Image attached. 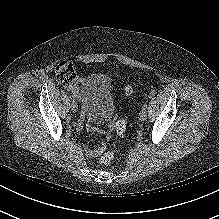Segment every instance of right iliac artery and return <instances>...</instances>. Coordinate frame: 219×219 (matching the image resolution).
<instances>
[{
  "instance_id": "obj_1",
  "label": "right iliac artery",
  "mask_w": 219,
  "mask_h": 219,
  "mask_svg": "<svg viewBox=\"0 0 219 219\" xmlns=\"http://www.w3.org/2000/svg\"><path fill=\"white\" fill-rule=\"evenodd\" d=\"M70 99L74 101L75 96H74V95H71V96H70Z\"/></svg>"
}]
</instances>
